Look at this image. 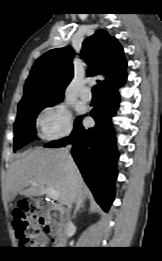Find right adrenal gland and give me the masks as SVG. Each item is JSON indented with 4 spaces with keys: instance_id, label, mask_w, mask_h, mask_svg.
<instances>
[{
    "instance_id": "1",
    "label": "right adrenal gland",
    "mask_w": 162,
    "mask_h": 261,
    "mask_svg": "<svg viewBox=\"0 0 162 261\" xmlns=\"http://www.w3.org/2000/svg\"><path fill=\"white\" fill-rule=\"evenodd\" d=\"M81 208H84V206L81 205V204H77V206H76V208L74 210L73 218H76V215H77L78 212L81 211Z\"/></svg>"
}]
</instances>
